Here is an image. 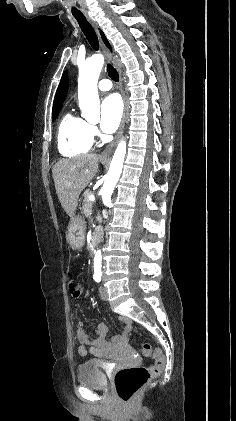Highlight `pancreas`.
<instances>
[{
  "label": "pancreas",
  "instance_id": "1",
  "mask_svg": "<svg viewBox=\"0 0 236 421\" xmlns=\"http://www.w3.org/2000/svg\"><path fill=\"white\" fill-rule=\"evenodd\" d=\"M89 194H94L93 190H85L84 192V200H83V213L85 215V217H90V215H92V206H93V202L92 200H89L88 196ZM98 223H102V217H100V215H98V217H96Z\"/></svg>",
  "mask_w": 236,
  "mask_h": 421
}]
</instances>
